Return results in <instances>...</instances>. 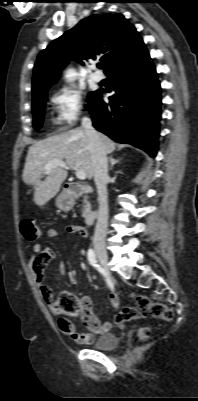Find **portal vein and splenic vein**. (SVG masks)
<instances>
[{
  "label": "portal vein and splenic vein",
  "instance_id": "18ae733b",
  "mask_svg": "<svg viewBox=\"0 0 198 401\" xmlns=\"http://www.w3.org/2000/svg\"><path fill=\"white\" fill-rule=\"evenodd\" d=\"M54 166H59V167H62L64 169H69V167L67 166V164L64 161H62V160H53L48 165L45 166V168H44L45 173H48ZM76 177L79 180H85L86 179V174H85L84 171H77L76 172Z\"/></svg>",
  "mask_w": 198,
  "mask_h": 401
}]
</instances>
